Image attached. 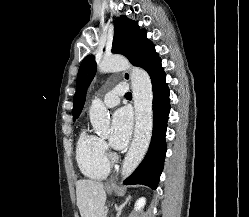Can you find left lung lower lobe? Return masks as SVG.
<instances>
[{
	"instance_id": "0a47b994",
	"label": "left lung lower lobe",
	"mask_w": 249,
	"mask_h": 217,
	"mask_svg": "<svg viewBox=\"0 0 249 217\" xmlns=\"http://www.w3.org/2000/svg\"><path fill=\"white\" fill-rule=\"evenodd\" d=\"M153 87V133L148 152L137 169L124 181L125 185L143 184L156 189L166 153V128L170 111L169 89L161 62L149 73Z\"/></svg>"
}]
</instances>
